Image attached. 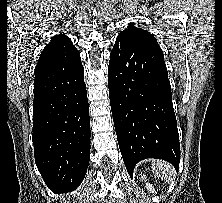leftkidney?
Returning <instances> with one entry per match:
<instances>
[{
  "label": "left kidney",
  "mask_w": 222,
  "mask_h": 203,
  "mask_svg": "<svg viewBox=\"0 0 222 203\" xmlns=\"http://www.w3.org/2000/svg\"><path fill=\"white\" fill-rule=\"evenodd\" d=\"M141 178H143V180H144V178L146 179L145 175H143ZM146 187L151 193H154L155 190L151 184H146Z\"/></svg>",
  "instance_id": "left-kidney-1"
}]
</instances>
